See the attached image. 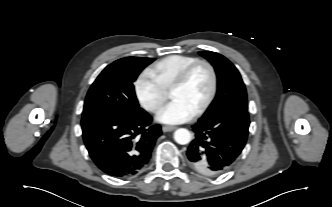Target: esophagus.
Wrapping results in <instances>:
<instances>
[{"label":"esophagus","instance_id":"esophagus-1","mask_svg":"<svg viewBox=\"0 0 332 207\" xmlns=\"http://www.w3.org/2000/svg\"><path fill=\"white\" fill-rule=\"evenodd\" d=\"M176 129V127L175 126H163L162 127V131L163 132H170V131H173V130H175Z\"/></svg>","mask_w":332,"mask_h":207}]
</instances>
